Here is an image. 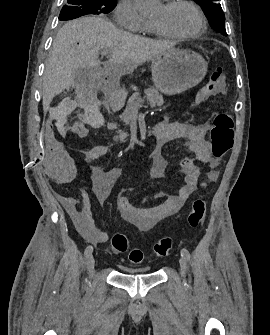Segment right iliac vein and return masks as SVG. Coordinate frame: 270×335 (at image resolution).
<instances>
[{
    "label": "right iliac vein",
    "instance_id": "obj_1",
    "mask_svg": "<svg viewBox=\"0 0 270 335\" xmlns=\"http://www.w3.org/2000/svg\"><path fill=\"white\" fill-rule=\"evenodd\" d=\"M94 266H95V260H94L93 255L91 254L87 260V269H88L90 276L94 275Z\"/></svg>",
    "mask_w": 270,
    "mask_h": 335
}]
</instances>
